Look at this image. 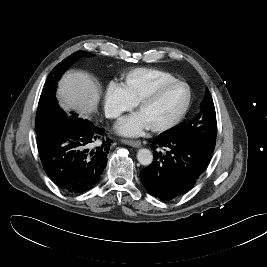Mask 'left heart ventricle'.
Segmentation results:
<instances>
[{
	"instance_id": "b2bd125f",
	"label": "left heart ventricle",
	"mask_w": 267,
	"mask_h": 267,
	"mask_svg": "<svg viewBox=\"0 0 267 267\" xmlns=\"http://www.w3.org/2000/svg\"><path fill=\"white\" fill-rule=\"evenodd\" d=\"M187 98L186 88L173 85L165 89L156 99L145 104L139 114L148 126H154L174 118L183 108Z\"/></svg>"
}]
</instances>
